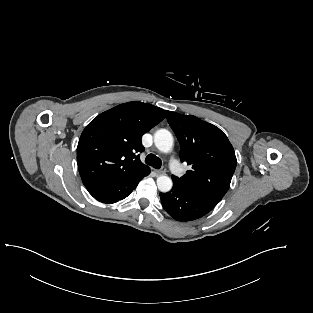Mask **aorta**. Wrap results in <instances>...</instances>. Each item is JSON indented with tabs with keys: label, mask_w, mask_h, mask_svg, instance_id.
I'll use <instances>...</instances> for the list:
<instances>
[{
	"label": "aorta",
	"mask_w": 313,
	"mask_h": 313,
	"mask_svg": "<svg viewBox=\"0 0 313 313\" xmlns=\"http://www.w3.org/2000/svg\"><path fill=\"white\" fill-rule=\"evenodd\" d=\"M154 143L158 150L168 153L173 147V136L166 129L157 130L154 134ZM172 186L173 182L168 176H159L157 178V187L161 192H169Z\"/></svg>",
	"instance_id": "aorta-1"
}]
</instances>
